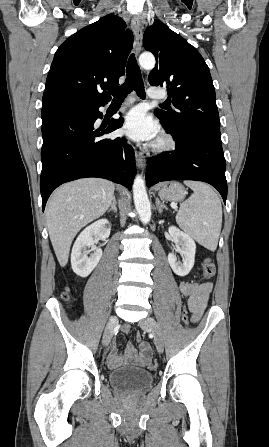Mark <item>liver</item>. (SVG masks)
Returning <instances> with one entry per match:
<instances>
[{
    "instance_id": "obj_1",
    "label": "liver",
    "mask_w": 269,
    "mask_h": 447,
    "mask_svg": "<svg viewBox=\"0 0 269 447\" xmlns=\"http://www.w3.org/2000/svg\"><path fill=\"white\" fill-rule=\"evenodd\" d=\"M115 184L101 178H85L63 184L46 206V222L57 255L64 267L73 237L81 227L103 216L110 208Z\"/></svg>"
}]
</instances>
